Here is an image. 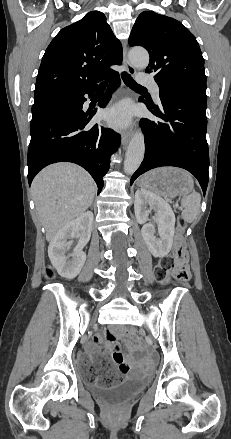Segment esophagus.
<instances>
[{"instance_id":"1","label":"esophagus","mask_w":231,"mask_h":439,"mask_svg":"<svg viewBox=\"0 0 231 439\" xmlns=\"http://www.w3.org/2000/svg\"><path fill=\"white\" fill-rule=\"evenodd\" d=\"M123 54H124L123 63L125 65V67H126V70L128 71L129 74L135 75L136 74V70L130 64V62L128 61V58H127V47H126V44H124ZM130 138H131V132H123L122 133V143H123V146H126L128 144V142L130 141Z\"/></svg>"}]
</instances>
